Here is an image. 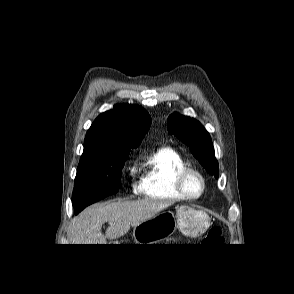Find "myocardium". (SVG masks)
I'll list each match as a JSON object with an SVG mask.
<instances>
[{"mask_svg": "<svg viewBox=\"0 0 294 294\" xmlns=\"http://www.w3.org/2000/svg\"><path fill=\"white\" fill-rule=\"evenodd\" d=\"M191 174H194L197 177H199V179L201 181V190L197 195L190 194L186 188V180H187L188 176ZM175 187H176L177 191L179 192V194L183 198H185L187 200H196V199L200 198L203 195V193L205 192L206 179H205L204 175L199 170L185 166V167L178 169L175 173Z\"/></svg>", "mask_w": 294, "mask_h": 294, "instance_id": "myocardium-1", "label": "myocardium"}]
</instances>
